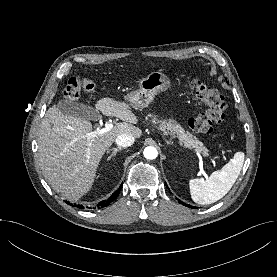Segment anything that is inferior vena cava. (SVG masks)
Returning a JSON list of instances; mask_svg holds the SVG:
<instances>
[{"label": "inferior vena cava", "mask_w": 277, "mask_h": 277, "mask_svg": "<svg viewBox=\"0 0 277 277\" xmlns=\"http://www.w3.org/2000/svg\"><path fill=\"white\" fill-rule=\"evenodd\" d=\"M116 144L120 147H129L134 143V137L129 134H121L116 138Z\"/></svg>", "instance_id": "602c4592"}]
</instances>
